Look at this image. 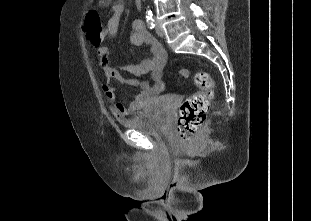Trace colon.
Returning a JSON list of instances; mask_svg holds the SVG:
<instances>
[{
	"label": "colon",
	"instance_id": "colon-1",
	"mask_svg": "<svg viewBox=\"0 0 311 221\" xmlns=\"http://www.w3.org/2000/svg\"><path fill=\"white\" fill-rule=\"evenodd\" d=\"M99 13L96 10L86 12V24L83 27L84 39H89L94 48L101 46L104 26L99 23ZM188 70H181L179 79L181 82L187 80ZM197 92L188 96L180 105L179 115L176 120V129L180 134V141H193L195 132L205 121L210 111V101L214 84L209 74L199 72L195 75Z\"/></svg>",
	"mask_w": 311,
	"mask_h": 221
}]
</instances>
